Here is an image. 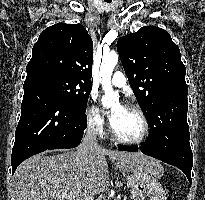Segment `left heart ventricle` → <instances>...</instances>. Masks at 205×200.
Segmentation results:
<instances>
[{
    "instance_id": "obj_1",
    "label": "left heart ventricle",
    "mask_w": 205,
    "mask_h": 200,
    "mask_svg": "<svg viewBox=\"0 0 205 200\" xmlns=\"http://www.w3.org/2000/svg\"><path fill=\"white\" fill-rule=\"evenodd\" d=\"M112 112L116 114L112 127L117 134L127 139L139 137L142 131V121L135 112L120 105L115 106Z\"/></svg>"
}]
</instances>
